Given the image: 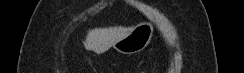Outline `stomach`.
<instances>
[{"instance_id":"obj_1","label":"stomach","mask_w":244,"mask_h":73,"mask_svg":"<svg viewBox=\"0 0 244 73\" xmlns=\"http://www.w3.org/2000/svg\"><path fill=\"white\" fill-rule=\"evenodd\" d=\"M153 35V26L150 22L139 23L124 38L113 44V49L125 55L139 53L149 44Z\"/></svg>"}]
</instances>
